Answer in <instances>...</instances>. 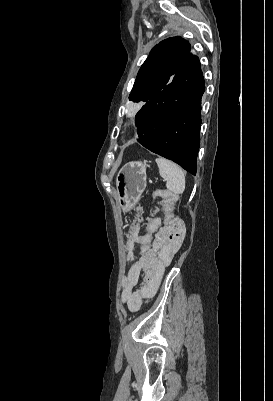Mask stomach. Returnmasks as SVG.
I'll list each match as a JSON object with an SVG mask.
<instances>
[{"instance_id": "obj_1", "label": "stomach", "mask_w": 273, "mask_h": 401, "mask_svg": "<svg viewBox=\"0 0 273 401\" xmlns=\"http://www.w3.org/2000/svg\"><path fill=\"white\" fill-rule=\"evenodd\" d=\"M147 186L146 164L140 160L126 162L116 176L117 205L122 213H129L136 207Z\"/></svg>"}]
</instances>
